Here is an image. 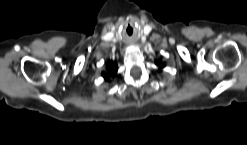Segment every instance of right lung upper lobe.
<instances>
[{
  "instance_id": "cb5924a9",
  "label": "right lung upper lobe",
  "mask_w": 247,
  "mask_h": 145,
  "mask_svg": "<svg viewBox=\"0 0 247 145\" xmlns=\"http://www.w3.org/2000/svg\"><path fill=\"white\" fill-rule=\"evenodd\" d=\"M117 72V64L109 61L107 64V73L103 72V76L106 80H109V76H114Z\"/></svg>"
}]
</instances>
